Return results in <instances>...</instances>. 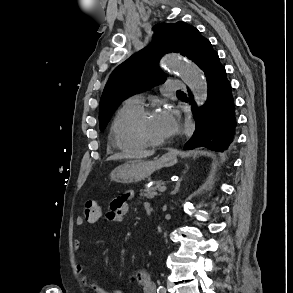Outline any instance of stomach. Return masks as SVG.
I'll return each instance as SVG.
<instances>
[{"label":"stomach","mask_w":293,"mask_h":293,"mask_svg":"<svg viewBox=\"0 0 293 293\" xmlns=\"http://www.w3.org/2000/svg\"><path fill=\"white\" fill-rule=\"evenodd\" d=\"M177 161V156L172 152L152 161L131 160L115 168L110 177L124 184L137 183L148 179L156 170L175 165Z\"/></svg>","instance_id":"1"}]
</instances>
